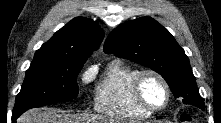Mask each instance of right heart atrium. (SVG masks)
<instances>
[{
  "label": "right heart atrium",
  "instance_id": "right-heart-atrium-1",
  "mask_svg": "<svg viewBox=\"0 0 221 123\" xmlns=\"http://www.w3.org/2000/svg\"><path fill=\"white\" fill-rule=\"evenodd\" d=\"M89 77H90V73H85V74L83 75V80H88Z\"/></svg>",
  "mask_w": 221,
  "mask_h": 123
}]
</instances>
